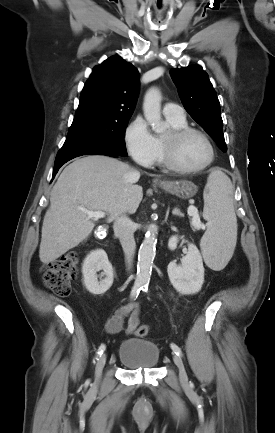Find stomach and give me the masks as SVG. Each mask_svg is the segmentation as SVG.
Masks as SVG:
<instances>
[{
  "mask_svg": "<svg viewBox=\"0 0 275 433\" xmlns=\"http://www.w3.org/2000/svg\"><path fill=\"white\" fill-rule=\"evenodd\" d=\"M163 190L182 199H189L196 195L198 187L191 181L182 180L159 185Z\"/></svg>",
  "mask_w": 275,
  "mask_h": 433,
  "instance_id": "stomach-1",
  "label": "stomach"
}]
</instances>
